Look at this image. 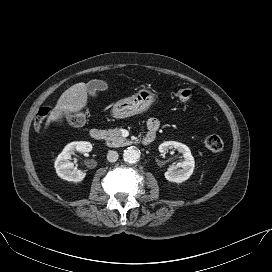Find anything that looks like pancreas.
<instances>
[{
  "label": "pancreas",
  "instance_id": "pancreas-1",
  "mask_svg": "<svg viewBox=\"0 0 272 272\" xmlns=\"http://www.w3.org/2000/svg\"><path fill=\"white\" fill-rule=\"evenodd\" d=\"M105 133L106 144L109 147H122L130 143L122 136L121 130L119 128L109 129Z\"/></svg>",
  "mask_w": 272,
  "mask_h": 272
}]
</instances>
